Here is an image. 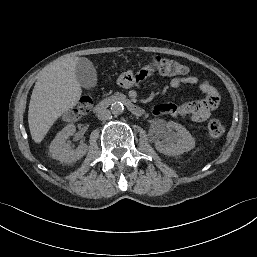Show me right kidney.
<instances>
[{"instance_id": "1", "label": "right kidney", "mask_w": 257, "mask_h": 257, "mask_svg": "<svg viewBox=\"0 0 257 257\" xmlns=\"http://www.w3.org/2000/svg\"><path fill=\"white\" fill-rule=\"evenodd\" d=\"M76 131L73 124H68L64 127L51 142L49 151L53 159L59 160L62 163H73L81 159L87 152L88 146L81 144L76 149H73L66 141L69 136H72Z\"/></svg>"}]
</instances>
